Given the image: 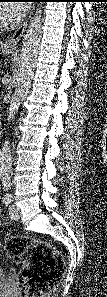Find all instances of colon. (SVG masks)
I'll return each instance as SVG.
<instances>
[{
    "label": "colon",
    "mask_w": 107,
    "mask_h": 297,
    "mask_svg": "<svg viewBox=\"0 0 107 297\" xmlns=\"http://www.w3.org/2000/svg\"><path fill=\"white\" fill-rule=\"evenodd\" d=\"M4 251L22 271L19 286L22 297H43L53 291L64 271V261L49 243L16 236L5 241Z\"/></svg>",
    "instance_id": "1"
}]
</instances>
